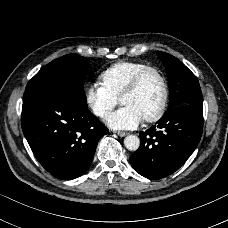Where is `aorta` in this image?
Wrapping results in <instances>:
<instances>
[{"label": "aorta", "instance_id": "aorta-1", "mask_svg": "<svg viewBox=\"0 0 228 228\" xmlns=\"http://www.w3.org/2000/svg\"><path fill=\"white\" fill-rule=\"evenodd\" d=\"M125 147L130 151H136L140 146V139L136 135L126 136L124 139Z\"/></svg>", "mask_w": 228, "mask_h": 228}]
</instances>
